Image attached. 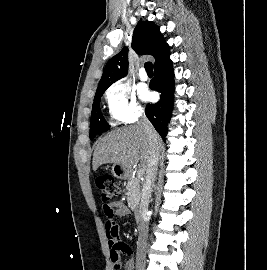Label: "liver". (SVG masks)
I'll use <instances>...</instances> for the list:
<instances>
[{
	"mask_svg": "<svg viewBox=\"0 0 267 270\" xmlns=\"http://www.w3.org/2000/svg\"><path fill=\"white\" fill-rule=\"evenodd\" d=\"M159 148L162 140L156 133ZM150 159L147 134L139 125L125 126L109 132L97 143L93 154V170L107 163L120 164L131 170L138 164L146 169Z\"/></svg>",
	"mask_w": 267,
	"mask_h": 270,
	"instance_id": "obj_1",
	"label": "liver"
}]
</instances>
